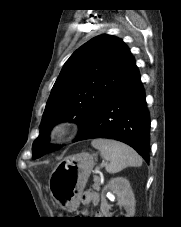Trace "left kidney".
I'll list each match as a JSON object with an SVG mask.
<instances>
[{"label":"left kidney","mask_w":181,"mask_h":227,"mask_svg":"<svg viewBox=\"0 0 181 227\" xmlns=\"http://www.w3.org/2000/svg\"><path fill=\"white\" fill-rule=\"evenodd\" d=\"M117 197L118 205L124 207L126 211L125 217H134L135 214V197L131 189L130 182L123 177L112 178L104 187L101 194V212L105 217H112L110 209L111 204L107 202V198Z\"/></svg>","instance_id":"left-kidney-1"}]
</instances>
